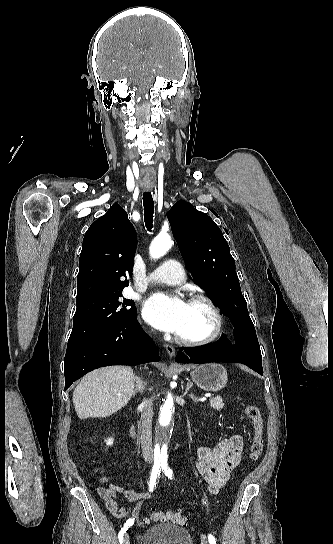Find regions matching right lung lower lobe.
I'll list each match as a JSON object with an SVG mask.
<instances>
[{"mask_svg":"<svg viewBox=\"0 0 333 544\" xmlns=\"http://www.w3.org/2000/svg\"><path fill=\"white\" fill-rule=\"evenodd\" d=\"M136 319L137 315L120 326L67 346L64 359L65 390L74 381L99 367L160 361L158 348Z\"/></svg>","mask_w":333,"mask_h":544,"instance_id":"right-lung-lower-lobe-1","label":"right lung lower lobe"}]
</instances>
